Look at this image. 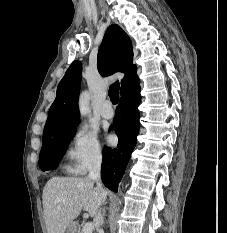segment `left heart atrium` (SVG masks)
<instances>
[{
	"label": "left heart atrium",
	"instance_id": "1",
	"mask_svg": "<svg viewBox=\"0 0 227 233\" xmlns=\"http://www.w3.org/2000/svg\"><path fill=\"white\" fill-rule=\"evenodd\" d=\"M112 139H113L112 136H109V137H108V140H109V141H112Z\"/></svg>",
	"mask_w": 227,
	"mask_h": 233
}]
</instances>
